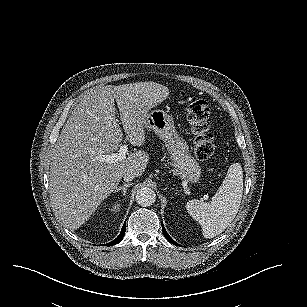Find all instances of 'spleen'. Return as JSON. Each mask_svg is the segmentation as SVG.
I'll use <instances>...</instances> for the list:
<instances>
[{
	"mask_svg": "<svg viewBox=\"0 0 307 307\" xmlns=\"http://www.w3.org/2000/svg\"><path fill=\"white\" fill-rule=\"evenodd\" d=\"M243 195V171L240 163L230 165L227 175L210 202H187L189 215L202 227L205 238L221 234L234 220Z\"/></svg>",
	"mask_w": 307,
	"mask_h": 307,
	"instance_id": "obj_1",
	"label": "spleen"
}]
</instances>
